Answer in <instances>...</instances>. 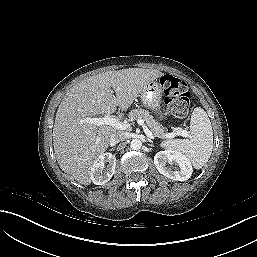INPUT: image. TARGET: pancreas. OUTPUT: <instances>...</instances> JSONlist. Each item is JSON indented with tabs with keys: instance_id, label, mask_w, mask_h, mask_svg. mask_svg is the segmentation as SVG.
<instances>
[{
	"instance_id": "cf45deb5",
	"label": "pancreas",
	"mask_w": 257,
	"mask_h": 257,
	"mask_svg": "<svg viewBox=\"0 0 257 257\" xmlns=\"http://www.w3.org/2000/svg\"><path fill=\"white\" fill-rule=\"evenodd\" d=\"M128 117L131 121L136 120L137 118H142L155 137L166 138L164 128H162L153 116L150 115L149 111L144 109H133L129 112Z\"/></svg>"
}]
</instances>
